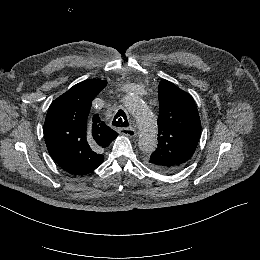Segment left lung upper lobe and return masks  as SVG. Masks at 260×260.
<instances>
[{"mask_svg": "<svg viewBox=\"0 0 260 260\" xmlns=\"http://www.w3.org/2000/svg\"><path fill=\"white\" fill-rule=\"evenodd\" d=\"M158 92L159 142L147 165L164 173H175L192 159L201 134L200 118L192 97L173 83L161 81Z\"/></svg>", "mask_w": 260, "mask_h": 260, "instance_id": "left-lung-upper-lobe-1", "label": "left lung upper lobe"}]
</instances>
